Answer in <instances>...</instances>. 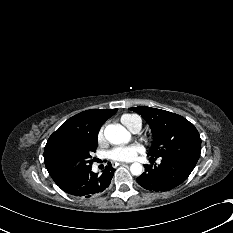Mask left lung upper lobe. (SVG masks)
<instances>
[{
  "label": "left lung upper lobe",
  "instance_id": "obj_1",
  "mask_svg": "<svg viewBox=\"0 0 233 233\" xmlns=\"http://www.w3.org/2000/svg\"><path fill=\"white\" fill-rule=\"evenodd\" d=\"M130 110L140 114L152 129L154 140L150 156H171L196 165L201 153V139L191 122L175 113L147 106Z\"/></svg>",
  "mask_w": 233,
  "mask_h": 233
}]
</instances>
